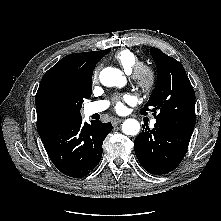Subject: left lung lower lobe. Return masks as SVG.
Here are the masks:
<instances>
[{"instance_id": "1", "label": "left lung lower lobe", "mask_w": 221, "mask_h": 221, "mask_svg": "<svg viewBox=\"0 0 221 221\" xmlns=\"http://www.w3.org/2000/svg\"><path fill=\"white\" fill-rule=\"evenodd\" d=\"M192 133H184L155 124L143 128L134 140L135 154L142 167L151 174L162 175L175 169L183 159Z\"/></svg>"}]
</instances>
